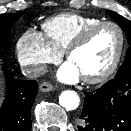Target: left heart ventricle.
<instances>
[{
	"label": "left heart ventricle",
	"instance_id": "1",
	"mask_svg": "<svg viewBox=\"0 0 131 131\" xmlns=\"http://www.w3.org/2000/svg\"><path fill=\"white\" fill-rule=\"evenodd\" d=\"M119 47V34L112 26L98 29L80 49L70 57L69 62L80 76H94L103 72L113 61Z\"/></svg>",
	"mask_w": 131,
	"mask_h": 131
}]
</instances>
